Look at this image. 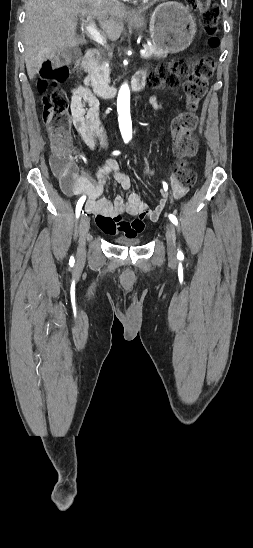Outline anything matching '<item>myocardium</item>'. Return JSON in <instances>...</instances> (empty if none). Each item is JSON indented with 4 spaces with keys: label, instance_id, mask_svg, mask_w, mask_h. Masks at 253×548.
Wrapping results in <instances>:
<instances>
[{
    "label": "myocardium",
    "instance_id": "obj_1",
    "mask_svg": "<svg viewBox=\"0 0 253 548\" xmlns=\"http://www.w3.org/2000/svg\"><path fill=\"white\" fill-rule=\"evenodd\" d=\"M147 1H160V0H147Z\"/></svg>",
    "mask_w": 253,
    "mask_h": 548
}]
</instances>
